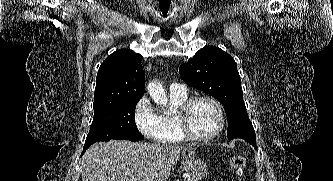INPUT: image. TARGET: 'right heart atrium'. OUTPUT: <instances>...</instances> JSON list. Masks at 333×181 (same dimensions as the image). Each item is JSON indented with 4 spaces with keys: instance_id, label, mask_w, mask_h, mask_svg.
<instances>
[{
    "instance_id": "d8ad5b80",
    "label": "right heart atrium",
    "mask_w": 333,
    "mask_h": 181,
    "mask_svg": "<svg viewBox=\"0 0 333 181\" xmlns=\"http://www.w3.org/2000/svg\"><path fill=\"white\" fill-rule=\"evenodd\" d=\"M133 118L137 129L146 138L159 141L164 136L166 127L148 98L142 97L137 101Z\"/></svg>"
}]
</instances>
